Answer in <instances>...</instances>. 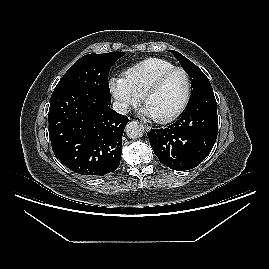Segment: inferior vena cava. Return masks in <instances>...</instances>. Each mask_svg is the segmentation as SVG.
<instances>
[{"instance_id":"602c4592","label":"inferior vena cava","mask_w":269,"mask_h":269,"mask_svg":"<svg viewBox=\"0 0 269 269\" xmlns=\"http://www.w3.org/2000/svg\"><path fill=\"white\" fill-rule=\"evenodd\" d=\"M113 110L122 115H126L129 112V106L125 102L115 101L113 102Z\"/></svg>"}]
</instances>
